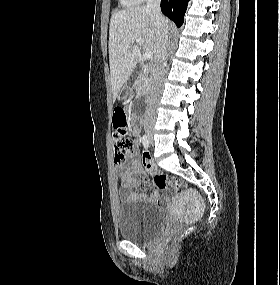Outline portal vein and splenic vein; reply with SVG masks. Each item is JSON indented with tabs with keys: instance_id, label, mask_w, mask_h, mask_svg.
I'll list each match as a JSON object with an SVG mask.
<instances>
[{
	"instance_id": "1",
	"label": "portal vein and splenic vein",
	"mask_w": 280,
	"mask_h": 285,
	"mask_svg": "<svg viewBox=\"0 0 280 285\" xmlns=\"http://www.w3.org/2000/svg\"><path fill=\"white\" fill-rule=\"evenodd\" d=\"M136 43L143 45L145 43L144 39L142 38H137ZM144 59L149 60L153 57V52L152 51H146L144 54Z\"/></svg>"
}]
</instances>
